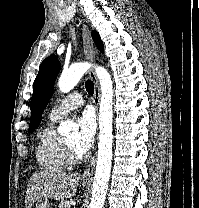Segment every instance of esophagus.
<instances>
[{
    "instance_id": "obj_1",
    "label": "esophagus",
    "mask_w": 199,
    "mask_h": 208,
    "mask_svg": "<svg viewBox=\"0 0 199 208\" xmlns=\"http://www.w3.org/2000/svg\"><path fill=\"white\" fill-rule=\"evenodd\" d=\"M79 24L81 25V30H82V43H83V51H84L85 57L89 62L94 64L95 57H94L93 46H92V41L90 37V30L83 20L79 19ZM89 75L94 82L93 103H94L96 111H98L99 103H100V87H99L98 80L96 78L95 71L93 69L90 70ZM96 159H97V152H95L88 166L86 167L82 175L83 178L92 177L94 173Z\"/></svg>"
}]
</instances>
